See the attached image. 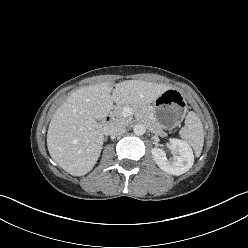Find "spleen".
Listing matches in <instances>:
<instances>
[{
    "instance_id": "obj_1",
    "label": "spleen",
    "mask_w": 248,
    "mask_h": 248,
    "mask_svg": "<svg viewBox=\"0 0 248 248\" xmlns=\"http://www.w3.org/2000/svg\"><path fill=\"white\" fill-rule=\"evenodd\" d=\"M180 136L191 146L196 156L201 154L204 143L203 125L195 112L190 111L185 118V126L180 130Z\"/></svg>"
}]
</instances>
